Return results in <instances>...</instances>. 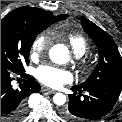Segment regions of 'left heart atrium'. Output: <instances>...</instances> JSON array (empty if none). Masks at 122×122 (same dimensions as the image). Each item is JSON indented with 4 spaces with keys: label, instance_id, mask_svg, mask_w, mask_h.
I'll list each match as a JSON object with an SVG mask.
<instances>
[{
    "label": "left heart atrium",
    "instance_id": "1",
    "mask_svg": "<svg viewBox=\"0 0 122 122\" xmlns=\"http://www.w3.org/2000/svg\"><path fill=\"white\" fill-rule=\"evenodd\" d=\"M36 78L45 86L60 88L64 84L72 82L73 75L68 70L45 64L36 70Z\"/></svg>",
    "mask_w": 122,
    "mask_h": 122
}]
</instances>
